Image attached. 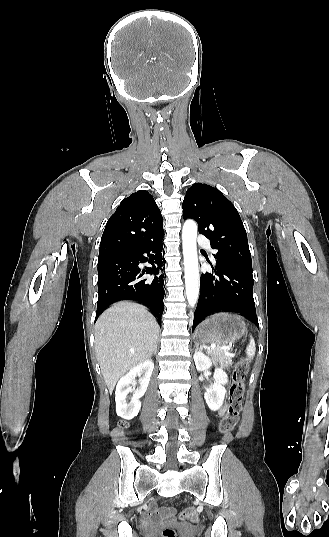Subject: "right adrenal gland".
Returning a JSON list of instances; mask_svg holds the SVG:
<instances>
[{"label":"right adrenal gland","instance_id":"obj_1","mask_svg":"<svg viewBox=\"0 0 329 537\" xmlns=\"http://www.w3.org/2000/svg\"><path fill=\"white\" fill-rule=\"evenodd\" d=\"M156 352H157V349H155L154 354H156Z\"/></svg>","mask_w":329,"mask_h":537}]
</instances>
